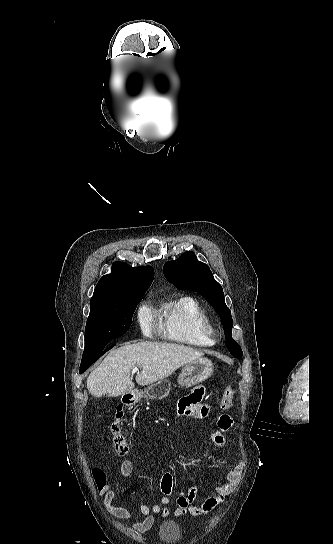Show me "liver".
<instances>
[{
  "mask_svg": "<svg viewBox=\"0 0 333 544\" xmlns=\"http://www.w3.org/2000/svg\"><path fill=\"white\" fill-rule=\"evenodd\" d=\"M204 353L184 345L143 341L111 351L87 378V389L94 397L119 396L133 391L130 371L141 366L138 385H149L171 375L179 367L202 358Z\"/></svg>",
  "mask_w": 333,
  "mask_h": 544,
  "instance_id": "liver-1",
  "label": "liver"
}]
</instances>
